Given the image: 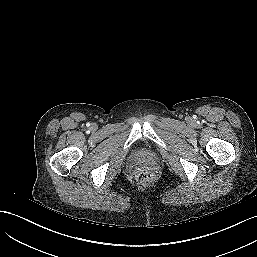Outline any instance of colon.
<instances>
[{
  "label": "colon",
  "instance_id": "colon-1",
  "mask_svg": "<svg viewBox=\"0 0 257 257\" xmlns=\"http://www.w3.org/2000/svg\"><path fill=\"white\" fill-rule=\"evenodd\" d=\"M137 181L140 184H148L153 180V174L150 171H140L136 176Z\"/></svg>",
  "mask_w": 257,
  "mask_h": 257
}]
</instances>
